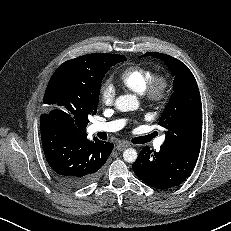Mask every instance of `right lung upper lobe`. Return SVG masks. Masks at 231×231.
I'll return each instance as SVG.
<instances>
[{"label":"right lung upper lobe","mask_w":231,"mask_h":231,"mask_svg":"<svg viewBox=\"0 0 231 231\" xmlns=\"http://www.w3.org/2000/svg\"><path fill=\"white\" fill-rule=\"evenodd\" d=\"M99 55H103V53H97ZM60 124V123H59ZM62 125V124H61ZM67 130H69L72 134H75V135H86V133L84 132L85 129H79V128H75V129H72V128H69L65 125H63Z\"/></svg>","instance_id":"1"}]
</instances>
